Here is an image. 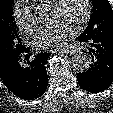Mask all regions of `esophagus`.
I'll return each mask as SVG.
<instances>
[{
	"instance_id": "esophagus-1",
	"label": "esophagus",
	"mask_w": 113,
	"mask_h": 113,
	"mask_svg": "<svg viewBox=\"0 0 113 113\" xmlns=\"http://www.w3.org/2000/svg\"><path fill=\"white\" fill-rule=\"evenodd\" d=\"M60 52L71 55L74 53V50H73V48L68 47V48L61 49Z\"/></svg>"
}]
</instances>
